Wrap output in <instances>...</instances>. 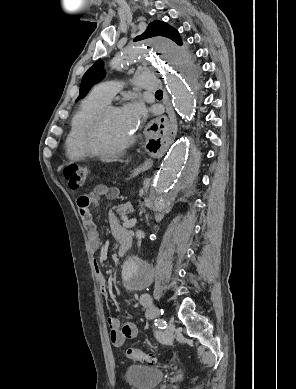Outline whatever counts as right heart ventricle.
<instances>
[{
	"instance_id": "right-heart-ventricle-1",
	"label": "right heart ventricle",
	"mask_w": 296,
	"mask_h": 389,
	"mask_svg": "<svg viewBox=\"0 0 296 389\" xmlns=\"http://www.w3.org/2000/svg\"><path fill=\"white\" fill-rule=\"evenodd\" d=\"M106 104L107 102L93 92L82 101L72 119L70 130L65 140V151L69 159L84 160L87 158L88 154L83 145L85 130L94 114Z\"/></svg>"
}]
</instances>
